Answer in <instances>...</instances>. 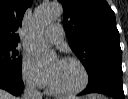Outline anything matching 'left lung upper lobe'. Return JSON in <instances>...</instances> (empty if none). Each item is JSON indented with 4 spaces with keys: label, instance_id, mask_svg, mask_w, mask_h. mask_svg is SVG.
<instances>
[{
    "label": "left lung upper lobe",
    "instance_id": "1",
    "mask_svg": "<svg viewBox=\"0 0 128 99\" xmlns=\"http://www.w3.org/2000/svg\"><path fill=\"white\" fill-rule=\"evenodd\" d=\"M72 51L89 71L101 60L121 61L119 32L105 0H60Z\"/></svg>",
    "mask_w": 128,
    "mask_h": 99
}]
</instances>
